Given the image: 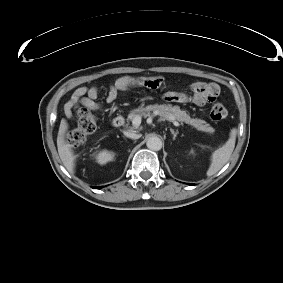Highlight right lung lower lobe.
Instances as JSON below:
<instances>
[{
    "mask_svg": "<svg viewBox=\"0 0 283 283\" xmlns=\"http://www.w3.org/2000/svg\"><path fill=\"white\" fill-rule=\"evenodd\" d=\"M103 186H100V187H94L95 189H100V188H102Z\"/></svg>",
    "mask_w": 283,
    "mask_h": 283,
    "instance_id": "98d812e1",
    "label": "right lung lower lobe"
}]
</instances>
